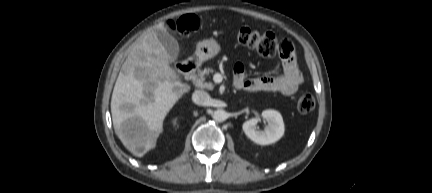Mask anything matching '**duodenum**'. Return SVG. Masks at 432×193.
<instances>
[{"label": "duodenum", "instance_id": "410a0bca", "mask_svg": "<svg viewBox=\"0 0 432 193\" xmlns=\"http://www.w3.org/2000/svg\"><path fill=\"white\" fill-rule=\"evenodd\" d=\"M198 60L195 58L187 59L178 64V70L183 76H192L196 73Z\"/></svg>", "mask_w": 432, "mask_h": 193}]
</instances>
